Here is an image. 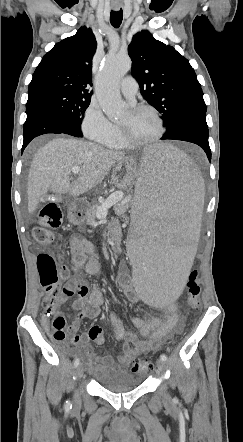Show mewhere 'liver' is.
Returning a JSON list of instances; mask_svg holds the SVG:
<instances>
[{"label": "liver", "mask_w": 243, "mask_h": 442, "mask_svg": "<svg viewBox=\"0 0 243 442\" xmlns=\"http://www.w3.org/2000/svg\"><path fill=\"white\" fill-rule=\"evenodd\" d=\"M176 149V148H175ZM125 153L73 138L58 137L34 154L27 182L28 211L36 210L39 200L50 190L77 197L100 184L111 167ZM80 167L79 177L70 182L72 168Z\"/></svg>", "instance_id": "obj_1"}]
</instances>
